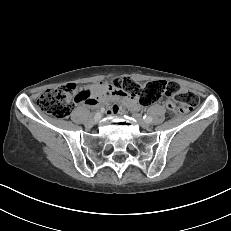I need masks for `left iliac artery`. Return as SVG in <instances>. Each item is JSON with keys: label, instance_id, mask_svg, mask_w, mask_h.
Returning <instances> with one entry per match:
<instances>
[{"label": "left iliac artery", "instance_id": "left-iliac-artery-1", "mask_svg": "<svg viewBox=\"0 0 231 231\" xmlns=\"http://www.w3.org/2000/svg\"><path fill=\"white\" fill-rule=\"evenodd\" d=\"M143 118L147 122H151L152 121V118L150 116H148V115H145Z\"/></svg>", "mask_w": 231, "mask_h": 231}]
</instances>
